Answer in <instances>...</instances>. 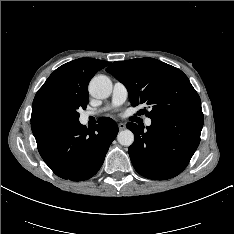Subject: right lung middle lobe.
Returning <instances> with one entry per match:
<instances>
[{
	"label": "right lung middle lobe",
	"mask_w": 234,
	"mask_h": 234,
	"mask_svg": "<svg viewBox=\"0 0 234 234\" xmlns=\"http://www.w3.org/2000/svg\"><path fill=\"white\" fill-rule=\"evenodd\" d=\"M88 95H61L52 98L45 109V118L78 121V109H85Z\"/></svg>",
	"instance_id": "right-lung-middle-lobe-1"
}]
</instances>
